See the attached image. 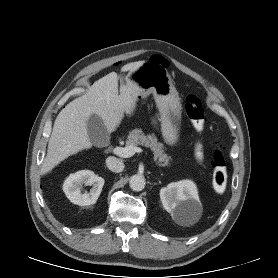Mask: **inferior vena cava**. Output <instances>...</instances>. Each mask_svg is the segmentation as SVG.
Segmentation results:
<instances>
[{
  "instance_id": "1",
  "label": "inferior vena cava",
  "mask_w": 278,
  "mask_h": 278,
  "mask_svg": "<svg viewBox=\"0 0 278 278\" xmlns=\"http://www.w3.org/2000/svg\"><path fill=\"white\" fill-rule=\"evenodd\" d=\"M106 165L109 168V170L116 173L122 172L125 167L124 163L121 160L112 156L106 159Z\"/></svg>"
}]
</instances>
